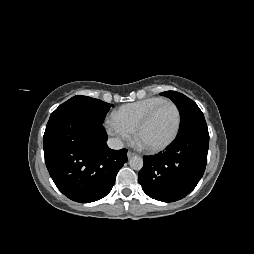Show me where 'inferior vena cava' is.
I'll return each mask as SVG.
<instances>
[{
  "mask_svg": "<svg viewBox=\"0 0 254 254\" xmlns=\"http://www.w3.org/2000/svg\"><path fill=\"white\" fill-rule=\"evenodd\" d=\"M107 145L109 146V148L114 150H119L124 147L123 142L118 138H109L107 140Z\"/></svg>",
  "mask_w": 254,
  "mask_h": 254,
  "instance_id": "1",
  "label": "inferior vena cava"
}]
</instances>
